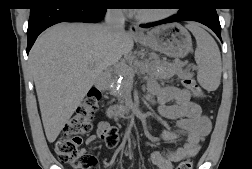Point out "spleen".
Instances as JSON below:
<instances>
[{
    "label": "spleen",
    "instance_id": "1",
    "mask_svg": "<svg viewBox=\"0 0 252 169\" xmlns=\"http://www.w3.org/2000/svg\"><path fill=\"white\" fill-rule=\"evenodd\" d=\"M187 28L196 39L195 61L198 65L197 81L207 91H215L221 81V55L215 40L199 25L190 23Z\"/></svg>",
    "mask_w": 252,
    "mask_h": 169
}]
</instances>
